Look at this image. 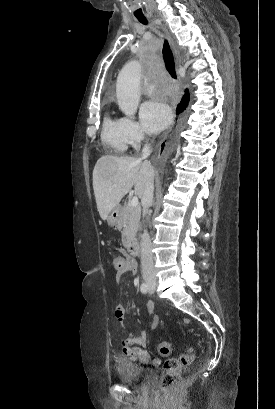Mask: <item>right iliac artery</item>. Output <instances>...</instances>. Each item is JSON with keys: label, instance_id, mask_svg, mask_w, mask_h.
Here are the masks:
<instances>
[{"label": "right iliac artery", "instance_id": "82829eb1", "mask_svg": "<svg viewBox=\"0 0 275 409\" xmlns=\"http://www.w3.org/2000/svg\"><path fill=\"white\" fill-rule=\"evenodd\" d=\"M148 289L149 288H148V285L146 283L141 284L140 290H141L142 293H144V294L147 293Z\"/></svg>", "mask_w": 275, "mask_h": 409}]
</instances>
